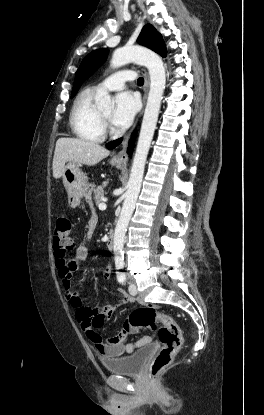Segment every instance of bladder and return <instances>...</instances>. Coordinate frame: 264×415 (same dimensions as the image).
I'll list each match as a JSON object with an SVG mask.
<instances>
[{
	"label": "bladder",
	"mask_w": 264,
	"mask_h": 415,
	"mask_svg": "<svg viewBox=\"0 0 264 415\" xmlns=\"http://www.w3.org/2000/svg\"><path fill=\"white\" fill-rule=\"evenodd\" d=\"M154 351L155 344L148 343L128 356L103 359L102 364L111 373L138 375L142 371L147 358Z\"/></svg>",
	"instance_id": "bladder-1"
}]
</instances>
